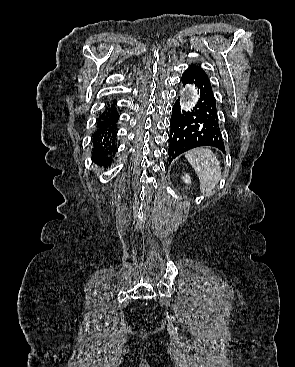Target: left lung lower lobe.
<instances>
[{
	"label": "left lung lower lobe",
	"instance_id": "0a47b994",
	"mask_svg": "<svg viewBox=\"0 0 295 367\" xmlns=\"http://www.w3.org/2000/svg\"><path fill=\"white\" fill-rule=\"evenodd\" d=\"M182 83L195 84L199 98L193 109L187 112L181 111L180 98L173 106L168 149L170 162L181 153L199 146H212L224 151L217 103L207 74L200 66L191 65L182 74Z\"/></svg>",
	"mask_w": 295,
	"mask_h": 367
}]
</instances>
